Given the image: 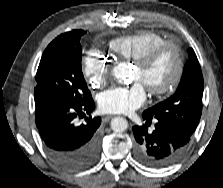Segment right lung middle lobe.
<instances>
[{"label":"right lung middle lobe","mask_w":223,"mask_h":188,"mask_svg":"<svg viewBox=\"0 0 223 188\" xmlns=\"http://www.w3.org/2000/svg\"><path fill=\"white\" fill-rule=\"evenodd\" d=\"M86 32L72 30L45 49L36 74L35 95H50L83 103L92 98L81 68L80 39Z\"/></svg>","instance_id":"1"}]
</instances>
